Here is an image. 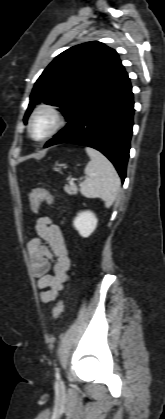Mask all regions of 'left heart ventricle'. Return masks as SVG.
I'll list each match as a JSON object with an SVG mask.
<instances>
[{
  "label": "left heart ventricle",
  "mask_w": 165,
  "mask_h": 419,
  "mask_svg": "<svg viewBox=\"0 0 165 419\" xmlns=\"http://www.w3.org/2000/svg\"><path fill=\"white\" fill-rule=\"evenodd\" d=\"M52 119L48 114H40L32 124V132L35 137H41L51 127Z\"/></svg>",
  "instance_id": "obj_1"
}]
</instances>
